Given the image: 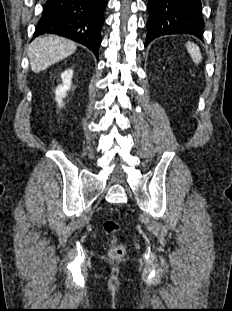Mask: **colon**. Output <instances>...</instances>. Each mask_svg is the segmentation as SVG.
I'll use <instances>...</instances> for the list:
<instances>
[{
	"label": "colon",
	"mask_w": 232,
	"mask_h": 311,
	"mask_svg": "<svg viewBox=\"0 0 232 311\" xmlns=\"http://www.w3.org/2000/svg\"><path fill=\"white\" fill-rule=\"evenodd\" d=\"M104 232L113 238L108 254L112 259H120L125 255V247L116 242V235L120 232V224L112 219H107L103 222Z\"/></svg>",
	"instance_id": "1"
}]
</instances>
